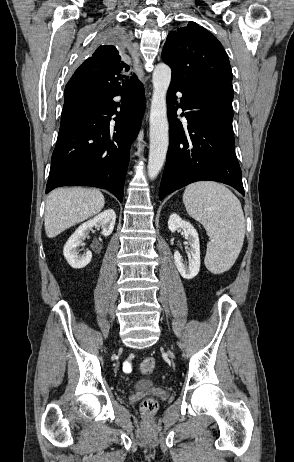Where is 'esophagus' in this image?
Masks as SVG:
<instances>
[{
	"instance_id": "1",
	"label": "esophagus",
	"mask_w": 294,
	"mask_h": 462,
	"mask_svg": "<svg viewBox=\"0 0 294 462\" xmlns=\"http://www.w3.org/2000/svg\"><path fill=\"white\" fill-rule=\"evenodd\" d=\"M130 54H131L132 59H133V65H134L135 70L137 71L138 75L141 78H143L144 72H143L142 65L140 64V59H139L140 54H139L138 47H133L130 50Z\"/></svg>"
}]
</instances>
